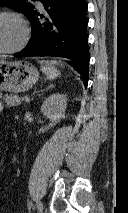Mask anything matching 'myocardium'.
Listing matches in <instances>:
<instances>
[{
	"instance_id": "obj_1",
	"label": "myocardium",
	"mask_w": 128,
	"mask_h": 213,
	"mask_svg": "<svg viewBox=\"0 0 128 213\" xmlns=\"http://www.w3.org/2000/svg\"><path fill=\"white\" fill-rule=\"evenodd\" d=\"M0 16H10L15 18L20 23L23 30V35L20 42L10 49L0 50V55H9L21 51L27 45L30 39V27L27 20L21 13L10 9L0 10Z\"/></svg>"
}]
</instances>
